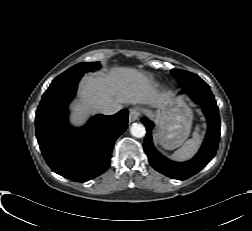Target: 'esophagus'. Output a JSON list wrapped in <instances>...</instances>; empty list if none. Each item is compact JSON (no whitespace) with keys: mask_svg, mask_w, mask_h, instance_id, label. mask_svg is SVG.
Returning <instances> with one entry per match:
<instances>
[{"mask_svg":"<svg viewBox=\"0 0 252 231\" xmlns=\"http://www.w3.org/2000/svg\"><path fill=\"white\" fill-rule=\"evenodd\" d=\"M142 109L139 107L132 108L129 113V122H134L139 119Z\"/></svg>","mask_w":252,"mask_h":231,"instance_id":"esophagus-1","label":"esophagus"}]
</instances>
